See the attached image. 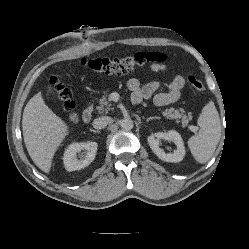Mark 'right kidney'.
<instances>
[{
  "label": "right kidney",
  "mask_w": 249,
  "mask_h": 249,
  "mask_svg": "<svg viewBox=\"0 0 249 249\" xmlns=\"http://www.w3.org/2000/svg\"><path fill=\"white\" fill-rule=\"evenodd\" d=\"M96 142L73 143L65 151L63 162L67 171L80 170L88 166L94 159L97 152ZM85 150L84 154L77 159V153Z\"/></svg>",
  "instance_id": "ca27d5eb"
}]
</instances>
